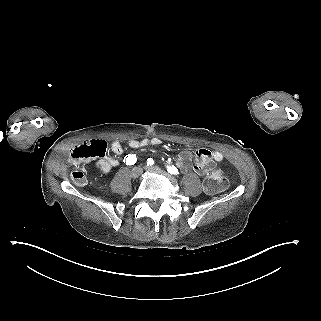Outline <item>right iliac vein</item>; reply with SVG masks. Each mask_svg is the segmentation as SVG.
<instances>
[{
  "label": "right iliac vein",
  "mask_w": 321,
  "mask_h": 321,
  "mask_svg": "<svg viewBox=\"0 0 321 321\" xmlns=\"http://www.w3.org/2000/svg\"><path fill=\"white\" fill-rule=\"evenodd\" d=\"M142 172H143V169L140 166H137L131 170L130 176L133 179H137L142 174Z\"/></svg>",
  "instance_id": "63e3f726"
}]
</instances>
